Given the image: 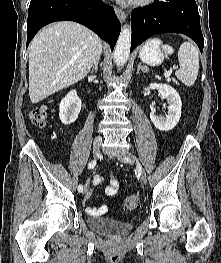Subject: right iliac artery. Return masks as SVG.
Returning <instances> with one entry per match:
<instances>
[{"mask_svg": "<svg viewBox=\"0 0 221 263\" xmlns=\"http://www.w3.org/2000/svg\"><path fill=\"white\" fill-rule=\"evenodd\" d=\"M95 166H96V160H93V161H91V162L88 164V169H93ZM78 191H79V192H82V191H83V186H82V185H79V186H78Z\"/></svg>", "mask_w": 221, "mask_h": 263, "instance_id": "obj_1", "label": "right iliac artery"}]
</instances>
